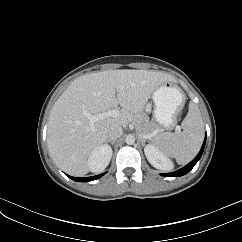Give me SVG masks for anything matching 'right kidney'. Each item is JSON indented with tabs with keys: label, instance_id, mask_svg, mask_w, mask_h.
<instances>
[{
	"label": "right kidney",
	"instance_id": "ca27d5eb",
	"mask_svg": "<svg viewBox=\"0 0 242 242\" xmlns=\"http://www.w3.org/2000/svg\"><path fill=\"white\" fill-rule=\"evenodd\" d=\"M112 152V148L107 144L94 149L88 158L89 170L96 173L104 170L111 160Z\"/></svg>",
	"mask_w": 242,
	"mask_h": 242
}]
</instances>
